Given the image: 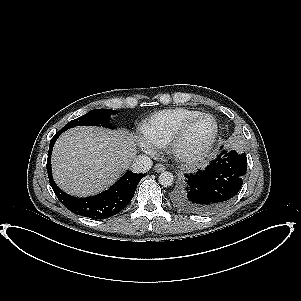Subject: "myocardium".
Masks as SVG:
<instances>
[{
    "mask_svg": "<svg viewBox=\"0 0 301 301\" xmlns=\"http://www.w3.org/2000/svg\"><path fill=\"white\" fill-rule=\"evenodd\" d=\"M207 118L210 119L213 122V132L208 141L199 149L193 151V152H185L182 150L181 145L182 142L190 129V127L198 120ZM218 135V124L216 119L207 113H200L186 122H184L180 128L176 131V133L172 136L170 139L167 148L168 152L177 160L181 162L186 163H195L207 156V154L210 152L212 147L214 146V143L217 139Z\"/></svg>",
    "mask_w": 301,
    "mask_h": 301,
    "instance_id": "1",
    "label": "myocardium"
}]
</instances>
